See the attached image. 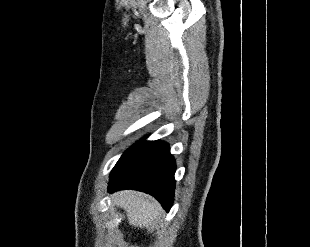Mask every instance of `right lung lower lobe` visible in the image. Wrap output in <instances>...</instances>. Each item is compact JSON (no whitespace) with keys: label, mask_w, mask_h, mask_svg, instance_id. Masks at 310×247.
<instances>
[{"label":"right lung lower lobe","mask_w":310,"mask_h":247,"mask_svg":"<svg viewBox=\"0 0 310 247\" xmlns=\"http://www.w3.org/2000/svg\"><path fill=\"white\" fill-rule=\"evenodd\" d=\"M175 169L168 144L160 140H142L121 156L111 172L108 191L135 189L146 192L168 212L174 199Z\"/></svg>","instance_id":"1"}]
</instances>
